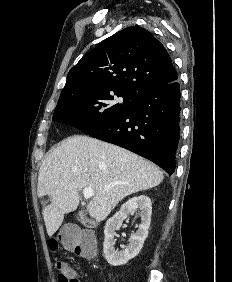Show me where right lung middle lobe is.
<instances>
[{
	"label": "right lung middle lobe",
	"instance_id": "obj_1",
	"mask_svg": "<svg viewBox=\"0 0 232 282\" xmlns=\"http://www.w3.org/2000/svg\"><path fill=\"white\" fill-rule=\"evenodd\" d=\"M116 97H122L123 102H116ZM137 97L123 90L78 94L58 101L52 120L86 131L128 112Z\"/></svg>",
	"mask_w": 232,
	"mask_h": 282
}]
</instances>
